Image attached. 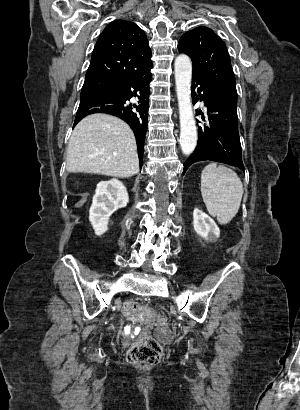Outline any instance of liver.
<instances>
[{"mask_svg": "<svg viewBox=\"0 0 300 410\" xmlns=\"http://www.w3.org/2000/svg\"><path fill=\"white\" fill-rule=\"evenodd\" d=\"M69 172L131 177L139 172L135 136L121 119L92 114L74 128L66 151Z\"/></svg>", "mask_w": 300, "mask_h": 410, "instance_id": "1", "label": "liver"}]
</instances>
